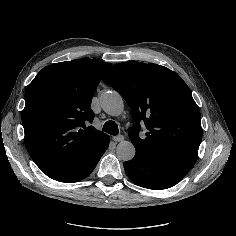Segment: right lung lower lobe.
Segmentation results:
<instances>
[{"mask_svg": "<svg viewBox=\"0 0 236 236\" xmlns=\"http://www.w3.org/2000/svg\"><path fill=\"white\" fill-rule=\"evenodd\" d=\"M110 138H106L99 146L81 156L57 181L74 183L87 177L95 168L103 153L108 148Z\"/></svg>", "mask_w": 236, "mask_h": 236, "instance_id": "1", "label": "right lung lower lobe"}]
</instances>
